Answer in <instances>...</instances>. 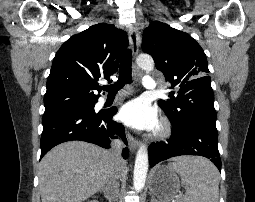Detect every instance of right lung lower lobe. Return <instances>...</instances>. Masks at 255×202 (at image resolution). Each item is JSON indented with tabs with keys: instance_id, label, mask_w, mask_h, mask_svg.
Segmentation results:
<instances>
[{
	"instance_id": "obj_1",
	"label": "right lung lower lobe",
	"mask_w": 255,
	"mask_h": 202,
	"mask_svg": "<svg viewBox=\"0 0 255 202\" xmlns=\"http://www.w3.org/2000/svg\"><path fill=\"white\" fill-rule=\"evenodd\" d=\"M116 109L100 111L85 108H67L43 115V132L41 136V158L54 146L71 140H81L110 147V139L121 138L125 144V129L112 120ZM124 159L128 149L123 150Z\"/></svg>"
}]
</instances>
